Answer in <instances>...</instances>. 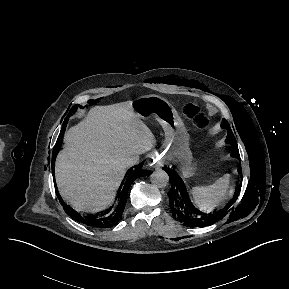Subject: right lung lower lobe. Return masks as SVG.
Instances as JSON below:
<instances>
[{
    "mask_svg": "<svg viewBox=\"0 0 289 289\" xmlns=\"http://www.w3.org/2000/svg\"><path fill=\"white\" fill-rule=\"evenodd\" d=\"M67 123H65L63 125V128L60 132V135L58 137V140L56 142V145L54 147V151H53V166H52V170L54 172V163H55V159L57 156V153L60 150V138L62 136V133L65 131ZM145 172L142 170V165L137 166L135 169L131 168L128 170V172L125 175V178L123 180V182L121 183L119 190L117 192V204L112 208L108 209L105 214L101 215V216H89V217H83L81 216L78 212H76L74 209H72L70 206L66 205L60 194L57 191V197L61 203V205L63 206L65 212L70 215V217H72L74 220L79 221L83 224H86L88 226L91 227H97V228H108V227H112L115 224H117L121 219H122V213L123 210L125 208V204H126V199H127V194L130 188V185L132 184V182L138 178L139 176H142ZM150 174V173H149ZM147 175V174H146Z\"/></svg>",
    "mask_w": 289,
    "mask_h": 289,
    "instance_id": "1",
    "label": "right lung lower lobe"
}]
</instances>
